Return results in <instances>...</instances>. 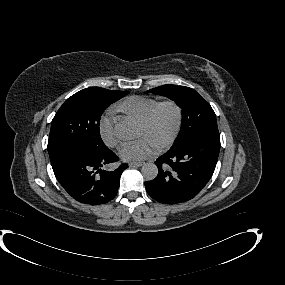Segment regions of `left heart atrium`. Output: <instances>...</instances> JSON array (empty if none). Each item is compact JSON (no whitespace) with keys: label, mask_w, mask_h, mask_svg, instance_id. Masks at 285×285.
<instances>
[{"label":"left heart atrium","mask_w":285,"mask_h":285,"mask_svg":"<svg viewBox=\"0 0 285 285\" xmlns=\"http://www.w3.org/2000/svg\"><path fill=\"white\" fill-rule=\"evenodd\" d=\"M121 151L125 158L141 160L150 154V142L146 139L130 141L122 146Z\"/></svg>","instance_id":"left-heart-atrium-1"}]
</instances>
